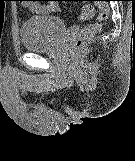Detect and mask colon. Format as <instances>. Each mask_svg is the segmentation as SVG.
I'll list each match as a JSON object with an SVG mask.
<instances>
[{"instance_id":"colon-1","label":"colon","mask_w":135,"mask_h":161,"mask_svg":"<svg viewBox=\"0 0 135 161\" xmlns=\"http://www.w3.org/2000/svg\"><path fill=\"white\" fill-rule=\"evenodd\" d=\"M56 1V0H50ZM96 6L99 8V13L97 16L96 21L87 24L73 39L71 43V47L73 50L78 51L80 50L88 39L93 37L98 33L101 28L102 22H104L109 16V6L108 4L104 3L103 1H98ZM95 11V5L93 4H86L81 9V17L83 18H90L93 16Z\"/></svg>"}]
</instances>
